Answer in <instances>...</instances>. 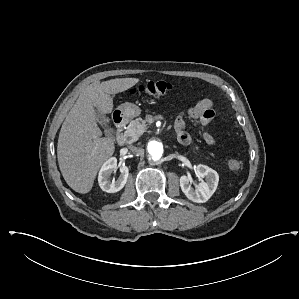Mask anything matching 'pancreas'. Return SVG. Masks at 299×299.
I'll use <instances>...</instances> for the list:
<instances>
[{
	"instance_id": "obj_1",
	"label": "pancreas",
	"mask_w": 299,
	"mask_h": 299,
	"mask_svg": "<svg viewBox=\"0 0 299 299\" xmlns=\"http://www.w3.org/2000/svg\"><path fill=\"white\" fill-rule=\"evenodd\" d=\"M147 128L146 121L142 118H137L132 120L126 131L124 132V137L128 143L135 142L139 137L145 132Z\"/></svg>"
}]
</instances>
